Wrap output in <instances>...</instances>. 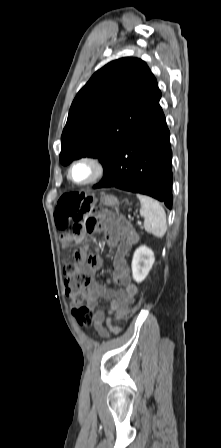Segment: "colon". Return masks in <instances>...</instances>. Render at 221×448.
I'll return each instance as SVG.
<instances>
[{
	"label": "colon",
	"instance_id": "5ec220e1",
	"mask_svg": "<svg viewBox=\"0 0 221 448\" xmlns=\"http://www.w3.org/2000/svg\"><path fill=\"white\" fill-rule=\"evenodd\" d=\"M93 196L81 192H72L62 196L56 205L55 219L58 228L72 226L73 235L84 237L94 231L97 225ZM66 294L74 304L73 314L80 325H91L94 317L84 304V292L90 283V277L73 262H66L63 267ZM140 306V301L127 310L130 315Z\"/></svg>",
	"mask_w": 221,
	"mask_h": 448
}]
</instances>
